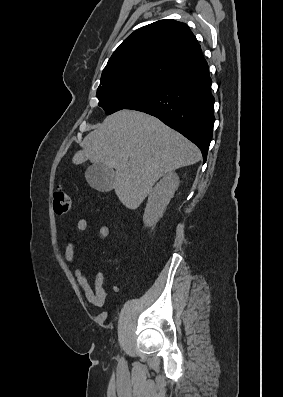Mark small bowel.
I'll list each match as a JSON object with an SVG mask.
<instances>
[{
    "mask_svg": "<svg viewBox=\"0 0 283 397\" xmlns=\"http://www.w3.org/2000/svg\"><path fill=\"white\" fill-rule=\"evenodd\" d=\"M88 228V221L85 218H80L77 222V237H80L82 234L86 232ZM110 234V229L107 225H101L98 229V236L101 240H105L108 238ZM75 245L76 238L71 239L65 248L64 259L67 263H72L75 256ZM74 276L84 292V295L89 303L96 307H102L105 303L106 299V290L104 288V276L102 272L96 274L94 283L91 285L86 276L83 273L81 268H75Z\"/></svg>",
    "mask_w": 283,
    "mask_h": 397,
    "instance_id": "small-bowel-1",
    "label": "small bowel"
}]
</instances>
